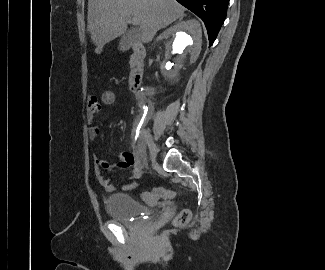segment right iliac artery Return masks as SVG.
Here are the masks:
<instances>
[{
  "label": "right iliac artery",
  "instance_id": "1",
  "mask_svg": "<svg viewBox=\"0 0 325 270\" xmlns=\"http://www.w3.org/2000/svg\"><path fill=\"white\" fill-rule=\"evenodd\" d=\"M140 134H141L142 139L145 141V143L148 146H150V135H149V133L145 129H142L140 131Z\"/></svg>",
  "mask_w": 325,
  "mask_h": 270
}]
</instances>
